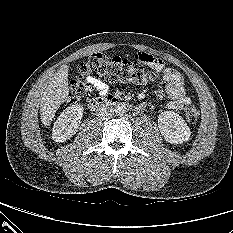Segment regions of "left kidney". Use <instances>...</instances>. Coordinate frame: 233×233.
<instances>
[{"mask_svg":"<svg viewBox=\"0 0 233 233\" xmlns=\"http://www.w3.org/2000/svg\"><path fill=\"white\" fill-rule=\"evenodd\" d=\"M158 127L169 143L182 144L190 139L191 131L183 118L173 112L164 111L158 116Z\"/></svg>","mask_w":233,"mask_h":233,"instance_id":"5707ae66","label":"left kidney"}]
</instances>
